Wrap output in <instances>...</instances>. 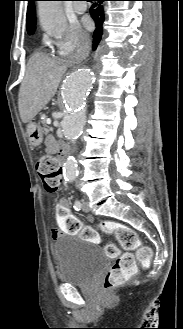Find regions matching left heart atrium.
Listing matches in <instances>:
<instances>
[{"label":"left heart atrium","instance_id":"39dd6f15","mask_svg":"<svg viewBox=\"0 0 183 329\" xmlns=\"http://www.w3.org/2000/svg\"><path fill=\"white\" fill-rule=\"evenodd\" d=\"M86 25H87L88 27H90V23L87 22Z\"/></svg>","mask_w":183,"mask_h":329}]
</instances>
